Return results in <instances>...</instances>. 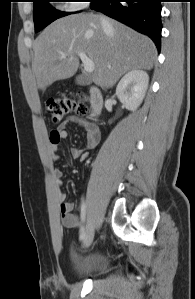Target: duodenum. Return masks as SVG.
<instances>
[{
	"label": "duodenum",
	"instance_id": "410a0bca",
	"mask_svg": "<svg viewBox=\"0 0 195 299\" xmlns=\"http://www.w3.org/2000/svg\"><path fill=\"white\" fill-rule=\"evenodd\" d=\"M88 102L90 105V118L96 120L99 117L103 106V97L98 88H89Z\"/></svg>",
	"mask_w": 195,
	"mask_h": 299
}]
</instances>
